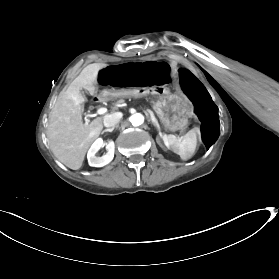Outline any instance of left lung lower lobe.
Masks as SVG:
<instances>
[{
	"mask_svg": "<svg viewBox=\"0 0 279 279\" xmlns=\"http://www.w3.org/2000/svg\"><path fill=\"white\" fill-rule=\"evenodd\" d=\"M180 84L193 102L195 112L201 120L202 140L209 149L220 133L218 109L202 83L193 77L187 69H179Z\"/></svg>",
	"mask_w": 279,
	"mask_h": 279,
	"instance_id": "0a47b994",
	"label": "left lung lower lobe"
}]
</instances>
